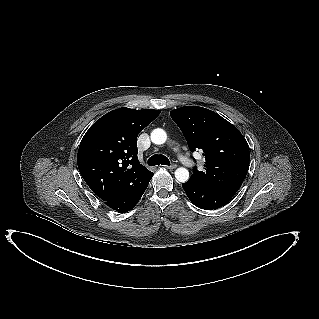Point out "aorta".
I'll return each instance as SVG.
<instances>
[{
  "label": "aorta",
  "instance_id": "762f6f07",
  "mask_svg": "<svg viewBox=\"0 0 319 319\" xmlns=\"http://www.w3.org/2000/svg\"><path fill=\"white\" fill-rule=\"evenodd\" d=\"M150 137L151 141L157 145L164 144L167 140V134L165 130L161 128L154 129L151 132ZM174 174L178 182L185 183L189 180V171L184 167L177 168Z\"/></svg>",
  "mask_w": 319,
  "mask_h": 319
}]
</instances>
